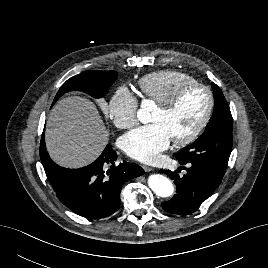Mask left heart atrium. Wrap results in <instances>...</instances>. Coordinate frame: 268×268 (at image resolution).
<instances>
[{
	"label": "left heart atrium",
	"mask_w": 268,
	"mask_h": 268,
	"mask_svg": "<svg viewBox=\"0 0 268 268\" xmlns=\"http://www.w3.org/2000/svg\"><path fill=\"white\" fill-rule=\"evenodd\" d=\"M170 136L160 123L140 126L126 133L122 138L124 152L132 159L153 163L160 152L168 148Z\"/></svg>",
	"instance_id": "obj_1"
}]
</instances>
